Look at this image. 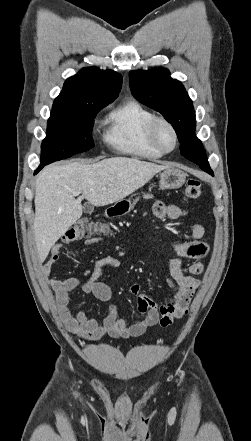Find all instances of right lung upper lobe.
I'll list each match as a JSON object with an SVG mask.
<instances>
[{"instance_id":"cb5924a9","label":"right lung upper lobe","mask_w":251,"mask_h":441,"mask_svg":"<svg viewBox=\"0 0 251 441\" xmlns=\"http://www.w3.org/2000/svg\"><path fill=\"white\" fill-rule=\"evenodd\" d=\"M122 77L114 71L83 68L66 80L53 108H74L87 99L114 100L121 90Z\"/></svg>"}]
</instances>
